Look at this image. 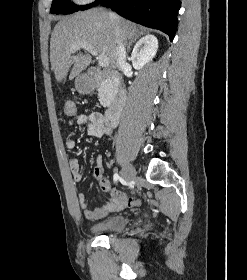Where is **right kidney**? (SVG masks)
<instances>
[{
    "instance_id": "obj_1",
    "label": "right kidney",
    "mask_w": 247,
    "mask_h": 280,
    "mask_svg": "<svg viewBox=\"0 0 247 280\" xmlns=\"http://www.w3.org/2000/svg\"><path fill=\"white\" fill-rule=\"evenodd\" d=\"M158 40L154 35H146L135 45L131 54L133 67L137 70L142 69L156 55Z\"/></svg>"
}]
</instances>
